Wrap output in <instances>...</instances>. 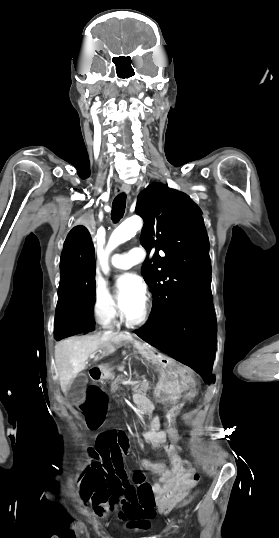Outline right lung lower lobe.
Listing matches in <instances>:
<instances>
[{
    "label": "right lung lower lobe",
    "mask_w": 279,
    "mask_h": 538,
    "mask_svg": "<svg viewBox=\"0 0 279 538\" xmlns=\"http://www.w3.org/2000/svg\"><path fill=\"white\" fill-rule=\"evenodd\" d=\"M95 259L91 236L84 226L74 227L64 242L54 327L55 339L91 332L95 328Z\"/></svg>",
    "instance_id": "right-lung-lower-lobe-1"
}]
</instances>
